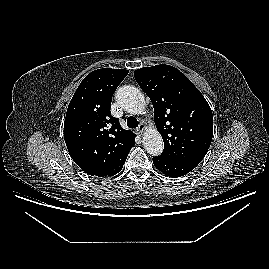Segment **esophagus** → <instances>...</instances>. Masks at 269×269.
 <instances>
[{"instance_id": "obj_1", "label": "esophagus", "mask_w": 269, "mask_h": 269, "mask_svg": "<svg viewBox=\"0 0 269 269\" xmlns=\"http://www.w3.org/2000/svg\"><path fill=\"white\" fill-rule=\"evenodd\" d=\"M145 125L143 123H140L138 128H137V131L139 134H142L144 131H145Z\"/></svg>"}]
</instances>
